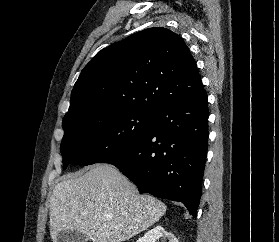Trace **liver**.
<instances>
[{
	"mask_svg": "<svg viewBox=\"0 0 279 242\" xmlns=\"http://www.w3.org/2000/svg\"><path fill=\"white\" fill-rule=\"evenodd\" d=\"M166 205L140 195L118 169L97 164L85 173L68 174L50 198V236L62 230L83 233L93 242L129 240L158 221Z\"/></svg>",
	"mask_w": 279,
	"mask_h": 242,
	"instance_id": "obj_1",
	"label": "liver"
}]
</instances>
